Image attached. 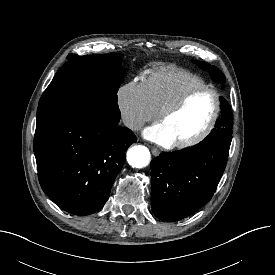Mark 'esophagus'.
<instances>
[{
  "instance_id": "34e87169",
  "label": "esophagus",
  "mask_w": 275,
  "mask_h": 275,
  "mask_svg": "<svg viewBox=\"0 0 275 275\" xmlns=\"http://www.w3.org/2000/svg\"><path fill=\"white\" fill-rule=\"evenodd\" d=\"M151 152L154 156H158L160 151L156 147H151Z\"/></svg>"
}]
</instances>
